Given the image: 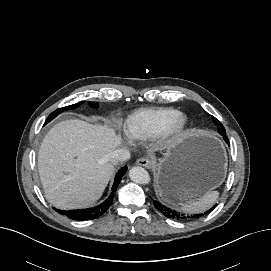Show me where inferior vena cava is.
<instances>
[{
  "instance_id": "obj_1",
  "label": "inferior vena cava",
  "mask_w": 271,
  "mask_h": 271,
  "mask_svg": "<svg viewBox=\"0 0 271 271\" xmlns=\"http://www.w3.org/2000/svg\"><path fill=\"white\" fill-rule=\"evenodd\" d=\"M110 161L113 164H118L120 162H125L130 159V153L127 149L114 150L110 156Z\"/></svg>"
}]
</instances>
